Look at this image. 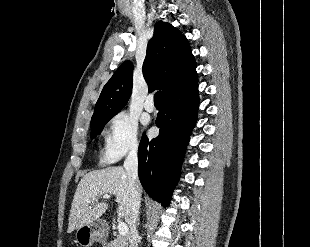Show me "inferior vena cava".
Returning a JSON list of instances; mask_svg holds the SVG:
<instances>
[{
  "instance_id": "inferior-vena-cava-1",
  "label": "inferior vena cava",
  "mask_w": 310,
  "mask_h": 247,
  "mask_svg": "<svg viewBox=\"0 0 310 247\" xmlns=\"http://www.w3.org/2000/svg\"><path fill=\"white\" fill-rule=\"evenodd\" d=\"M124 168L127 173L130 185V214L128 217L129 232V247H138L139 234L136 227V222L140 209L141 202V186L138 178V154L137 148H133L125 162Z\"/></svg>"
}]
</instances>
